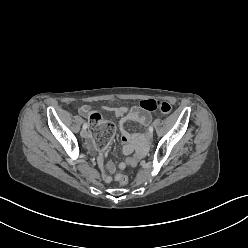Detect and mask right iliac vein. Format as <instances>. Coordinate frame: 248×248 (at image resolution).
Masks as SVG:
<instances>
[{"mask_svg":"<svg viewBox=\"0 0 248 248\" xmlns=\"http://www.w3.org/2000/svg\"><path fill=\"white\" fill-rule=\"evenodd\" d=\"M80 135H81L83 138L87 137V135H88L87 130H86V129H83V130L81 131Z\"/></svg>","mask_w":248,"mask_h":248,"instance_id":"obj_1","label":"right iliac vein"}]
</instances>
